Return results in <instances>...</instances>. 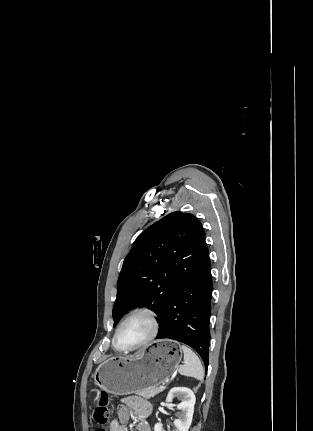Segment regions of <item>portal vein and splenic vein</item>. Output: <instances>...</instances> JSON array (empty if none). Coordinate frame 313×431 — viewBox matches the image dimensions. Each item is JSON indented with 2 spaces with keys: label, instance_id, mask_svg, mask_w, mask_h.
Masks as SVG:
<instances>
[{
  "label": "portal vein and splenic vein",
  "instance_id": "obj_1",
  "mask_svg": "<svg viewBox=\"0 0 313 431\" xmlns=\"http://www.w3.org/2000/svg\"><path fill=\"white\" fill-rule=\"evenodd\" d=\"M165 387L164 386H160V389H164Z\"/></svg>",
  "mask_w": 313,
  "mask_h": 431
}]
</instances>
